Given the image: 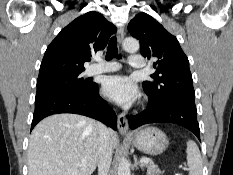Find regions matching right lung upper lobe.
Returning a JSON list of instances; mask_svg holds the SVG:
<instances>
[{
	"label": "right lung upper lobe",
	"instance_id": "obj_1",
	"mask_svg": "<svg viewBox=\"0 0 233 175\" xmlns=\"http://www.w3.org/2000/svg\"><path fill=\"white\" fill-rule=\"evenodd\" d=\"M116 27L103 15L91 11L79 16L63 28L48 46L39 76L79 73L92 52L102 50Z\"/></svg>",
	"mask_w": 233,
	"mask_h": 175
}]
</instances>
